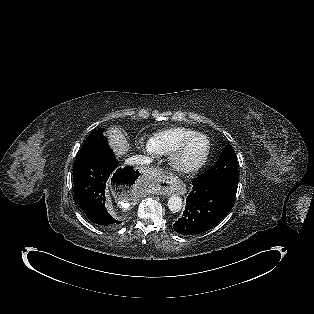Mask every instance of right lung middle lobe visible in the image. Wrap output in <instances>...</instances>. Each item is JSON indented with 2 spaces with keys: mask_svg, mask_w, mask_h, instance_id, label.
I'll return each mask as SVG.
<instances>
[{
  "mask_svg": "<svg viewBox=\"0 0 314 314\" xmlns=\"http://www.w3.org/2000/svg\"><path fill=\"white\" fill-rule=\"evenodd\" d=\"M107 145V139L103 135V130H96L90 133L84 142L82 148L78 152L76 162L83 161L88 157L96 154L99 150L105 148Z\"/></svg>",
  "mask_w": 314,
  "mask_h": 314,
  "instance_id": "1",
  "label": "right lung middle lobe"
}]
</instances>
